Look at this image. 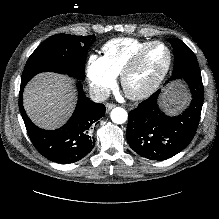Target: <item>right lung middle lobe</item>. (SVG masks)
Returning <instances> with one entry per match:
<instances>
[{
    "instance_id": "right-lung-middle-lobe-1",
    "label": "right lung middle lobe",
    "mask_w": 219,
    "mask_h": 219,
    "mask_svg": "<svg viewBox=\"0 0 219 219\" xmlns=\"http://www.w3.org/2000/svg\"><path fill=\"white\" fill-rule=\"evenodd\" d=\"M95 36H74L69 34L53 35L43 43L29 57L22 73L21 85L41 72H57L69 74L83 80L85 78V61L90 44Z\"/></svg>"
}]
</instances>
